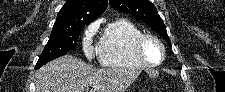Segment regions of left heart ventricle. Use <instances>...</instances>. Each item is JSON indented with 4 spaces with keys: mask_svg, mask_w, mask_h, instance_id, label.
Instances as JSON below:
<instances>
[{
    "mask_svg": "<svg viewBox=\"0 0 225 92\" xmlns=\"http://www.w3.org/2000/svg\"><path fill=\"white\" fill-rule=\"evenodd\" d=\"M144 52L149 61L155 62L160 59V49L159 47L153 42H147L144 47Z\"/></svg>",
    "mask_w": 225,
    "mask_h": 92,
    "instance_id": "left-heart-ventricle-1",
    "label": "left heart ventricle"
}]
</instances>
